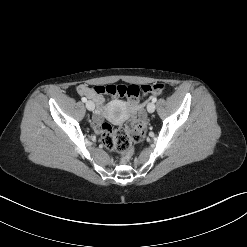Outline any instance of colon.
<instances>
[{
	"instance_id": "obj_1",
	"label": "colon",
	"mask_w": 247,
	"mask_h": 247,
	"mask_svg": "<svg viewBox=\"0 0 247 247\" xmlns=\"http://www.w3.org/2000/svg\"><path fill=\"white\" fill-rule=\"evenodd\" d=\"M165 90L163 84L145 85H106L102 88L97 86L94 92L100 95L102 92L113 96L126 97L128 101L137 106L139 98L146 95H161ZM103 145L120 154L123 163L128 162L133 147L145 137L146 126L139 119L130 120L124 128L114 130L109 124L103 123L99 128Z\"/></svg>"
}]
</instances>
